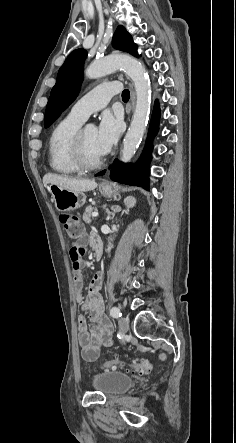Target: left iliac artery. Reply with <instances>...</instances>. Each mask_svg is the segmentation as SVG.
Here are the masks:
<instances>
[{
    "label": "left iliac artery",
    "mask_w": 236,
    "mask_h": 443,
    "mask_svg": "<svg viewBox=\"0 0 236 443\" xmlns=\"http://www.w3.org/2000/svg\"><path fill=\"white\" fill-rule=\"evenodd\" d=\"M110 315L113 317V318H119V317H121L122 316V313L120 312V309L119 308H117V307H112L111 309H110Z\"/></svg>",
    "instance_id": "left-iliac-artery-1"
}]
</instances>
